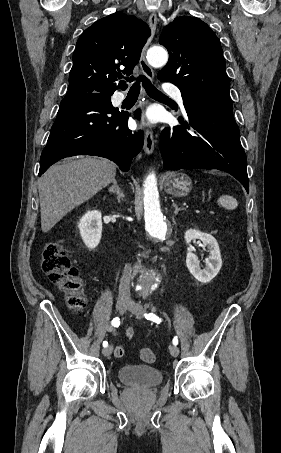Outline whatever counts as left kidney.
I'll return each instance as SVG.
<instances>
[{
	"label": "left kidney",
	"mask_w": 281,
	"mask_h": 453,
	"mask_svg": "<svg viewBox=\"0 0 281 453\" xmlns=\"http://www.w3.org/2000/svg\"><path fill=\"white\" fill-rule=\"evenodd\" d=\"M187 245L194 241V239H200L202 241L204 247H207L209 257L205 259V267L201 269L199 263V259L197 255H194L192 251H187L186 255V265L193 277L200 281V283H210L214 277H216L217 273H219L222 265L221 253L219 251V245L212 237V235H208V233H200V231H195V229H189L186 231L184 237Z\"/></svg>",
	"instance_id": "obj_1"
}]
</instances>
